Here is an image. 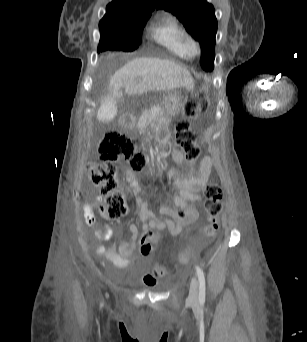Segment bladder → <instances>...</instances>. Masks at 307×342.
<instances>
[{"instance_id": "31cf9c89", "label": "bladder", "mask_w": 307, "mask_h": 342, "mask_svg": "<svg viewBox=\"0 0 307 342\" xmlns=\"http://www.w3.org/2000/svg\"><path fill=\"white\" fill-rule=\"evenodd\" d=\"M150 286H152V287H153V286H155V284H152V285H150Z\"/></svg>"}]
</instances>
